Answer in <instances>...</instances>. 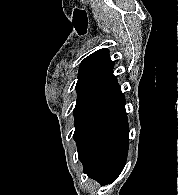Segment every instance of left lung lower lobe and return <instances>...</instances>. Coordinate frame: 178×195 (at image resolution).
I'll list each match as a JSON object with an SVG mask.
<instances>
[{"instance_id": "left-lung-lower-lobe-1", "label": "left lung lower lobe", "mask_w": 178, "mask_h": 195, "mask_svg": "<svg viewBox=\"0 0 178 195\" xmlns=\"http://www.w3.org/2000/svg\"><path fill=\"white\" fill-rule=\"evenodd\" d=\"M124 105L120 94L73 137L84 173L102 186L114 182L126 163L129 125Z\"/></svg>"}]
</instances>
